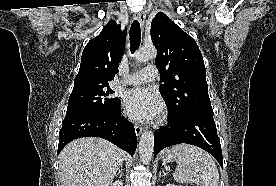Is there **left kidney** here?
Wrapping results in <instances>:
<instances>
[{"label": "left kidney", "instance_id": "1", "mask_svg": "<svg viewBox=\"0 0 276 186\" xmlns=\"http://www.w3.org/2000/svg\"><path fill=\"white\" fill-rule=\"evenodd\" d=\"M166 186H176V185H174V184H167Z\"/></svg>", "mask_w": 276, "mask_h": 186}]
</instances>
